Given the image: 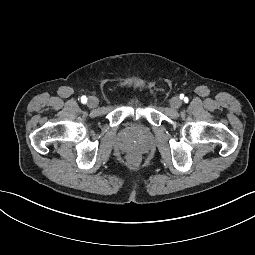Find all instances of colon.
I'll return each mask as SVG.
<instances>
[{
  "label": "colon",
  "mask_w": 255,
  "mask_h": 255,
  "mask_svg": "<svg viewBox=\"0 0 255 255\" xmlns=\"http://www.w3.org/2000/svg\"><path fill=\"white\" fill-rule=\"evenodd\" d=\"M130 161H131V162H135V161H136V157L132 156V157L130 158Z\"/></svg>",
  "instance_id": "5ec220e1"
}]
</instances>
